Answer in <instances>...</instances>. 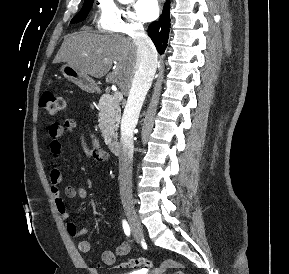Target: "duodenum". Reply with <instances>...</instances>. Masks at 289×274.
I'll return each mask as SVG.
<instances>
[{
	"label": "duodenum",
	"mask_w": 289,
	"mask_h": 274,
	"mask_svg": "<svg viewBox=\"0 0 289 274\" xmlns=\"http://www.w3.org/2000/svg\"><path fill=\"white\" fill-rule=\"evenodd\" d=\"M109 149L115 155L120 154V152H121V144H120V142L117 141V140H111L109 142Z\"/></svg>",
	"instance_id": "obj_1"
}]
</instances>
